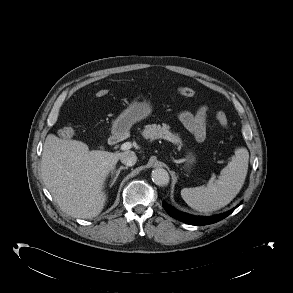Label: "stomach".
<instances>
[{
    "label": "stomach",
    "mask_w": 293,
    "mask_h": 293,
    "mask_svg": "<svg viewBox=\"0 0 293 293\" xmlns=\"http://www.w3.org/2000/svg\"><path fill=\"white\" fill-rule=\"evenodd\" d=\"M151 112L152 108L147 98L138 95L114 121L112 133L116 136L124 135L130 130L132 125L145 119L151 114ZM186 161L188 164H193L195 162V156L193 153H188L186 155Z\"/></svg>",
    "instance_id": "obj_1"
}]
</instances>
